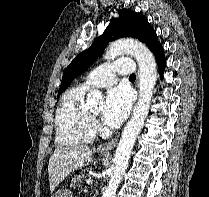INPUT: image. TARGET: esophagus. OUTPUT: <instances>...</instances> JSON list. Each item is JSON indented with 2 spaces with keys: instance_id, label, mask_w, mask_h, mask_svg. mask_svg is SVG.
Instances as JSON below:
<instances>
[{
  "instance_id": "34e87169",
  "label": "esophagus",
  "mask_w": 209,
  "mask_h": 197,
  "mask_svg": "<svg viewBox=\"0 0 209 197\" xmlns=\"http://www.w3.org/2000/svg\"><path fill=\"white\" fill-rule=\"evenodd\" d=\"M137 85H138V79H137ZM118 141V136L114 137L111 141L101 144L97 151L104 154H109V152L116 146Z\"/></svg>"
}]
</instances>
